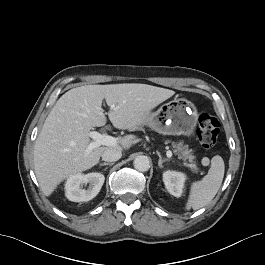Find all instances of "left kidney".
<instances>
[{"instance_id": "left-kidney-1", "label": "left kidney", "mask_w": 265, "mask_h": 265, "mask_svg": "<svg viewBox=\"0 0 265 265\" xmlns=\"http://www.w3.org/2000/svg\"><path fill=\"white\" fill-rule=\"evenodd\" d=\"M186 175L181 172L167 170L163 173V182L167 191L175 196L180 197L183 192Z\"/></svg>"}]
</instances>
